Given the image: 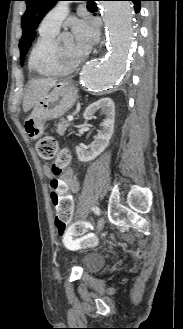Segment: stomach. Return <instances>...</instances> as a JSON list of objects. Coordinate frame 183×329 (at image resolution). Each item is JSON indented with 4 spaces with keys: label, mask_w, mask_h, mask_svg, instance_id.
<instances>
[{
    "label": "stomach",
    "mask_w": 183,
    "mask_h": 329,
    "mask_svg": "<svg viewBox=\"0 0 183 329\" xmlns=\"http://www.w3.org/2000/svg\"><path fill=\"white\" fill-rule=\"evenodd\" d=\"M77 99V91L66 83L57 84L52 92L43 96L25 119L24 129L31 140H37L44 132V123L69 111Z\"/></svg>",
    "instance_id": "stomach-1"
}]
</instances>
